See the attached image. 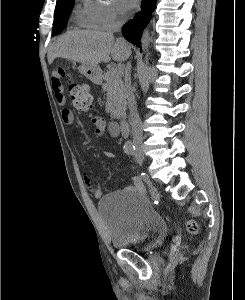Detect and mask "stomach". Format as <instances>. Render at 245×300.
<instances>
[{
  "label": "stomach",
  "instance_id": "stomach-1",
  "mask_svg": "<svg viewBox=\"0 0 245 300\" xmlns=\"http://www.w3.org/2000/svg\"><path fill=\"white\" fill-rule=\"evenodd\" d=\"M78 70L81 74L86 76L91 81H98L100 79V69L98 66H89L81 64L78 67Z\"/></svg>",
  "mask_w": 245,
  "mask_h": 300
}]
</instances>
